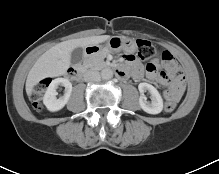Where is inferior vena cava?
Masks as SVG:
<instances>
[{
	"label": "inferior vena cava",
	"mask_w": 219,
	"mask_h": 174,
	"mask_svg": "<svg viewBox=\"0 0 219 174\" xmlns=\"http://www.w3.org/2000/svg\"><path fill=\"white\" fill-rule=\"evenodd\" d=\"M101 79V75L98 71L95 70H88L84 74V81L85 82H98Z\"/></svg>",
	"instance_id": "obj_1"
}]
</instances>
